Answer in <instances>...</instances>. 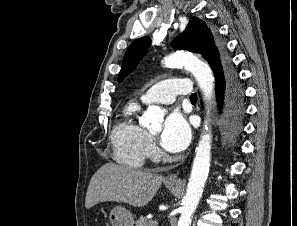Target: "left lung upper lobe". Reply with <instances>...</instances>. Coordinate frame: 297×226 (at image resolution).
Segmentation results:
<instances>
[{
	"label": "left lung upper lobe",
	"instance_id": "obj_1",
	"mask_svg": "<svg viewBox=\"0 0 297 226\" xmlns=\"http://www.w3.org/2000/svg\"><path fill=\"white\" fill-rule=\"evenodd\" d=\"M150 42L151 39L149 37H143L131 43L124 55L118 81L123 80L126 75L134 70ZM171 45L178 50L184 49L200 53L210 64L214 74L223 71L228 61L225 57H220L211 32L206 27V24L195 17L189 20L184 32Z\"/></svg>",
	"mask_w": 297,
	"mask_h": 226
}]
</instances>
